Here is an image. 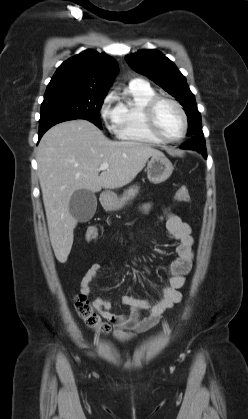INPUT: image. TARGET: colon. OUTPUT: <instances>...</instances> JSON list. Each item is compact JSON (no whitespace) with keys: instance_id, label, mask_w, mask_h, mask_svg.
Here are the masks:
<instances>
[{"instance_id":"obj_1","label":"colon","mask_w":248,"mask_h":419,"mask_svg":"<svg viewBox=\"0 0 248 419\" xmlns=\"http://www.w3.org/2000/svg\"><path fill=\"white\" fill-rule=\"evenodd\" d=\"M175 199L180 203H188L190 201V193L188 188L180 187L176 194ZM86 236L91 239L98 238V230L95 227L88 228ZM78 315L84 320L86 326L100 334H107L110 331L109 326L102 322L101 319L94 312L93 307L87 300L86 296L78 295L75 303Z\"/></svg>"}]
</instances>
